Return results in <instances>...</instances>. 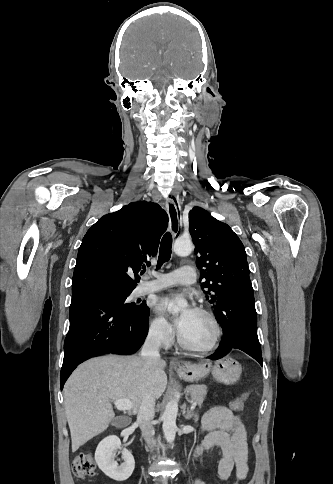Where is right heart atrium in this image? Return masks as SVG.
<instances>
[{"label":"right heart atrium","instance_id":"d8ad5b80","mask_svg":"<svg viewBox=\"0 0 333 484\" xmlns=\"http://www.w3.org/2000/svg\"><path fill=\"white\" fill-rule=\"evenodd\" d=\"M149 336L162 346H169L173 340V329L170 323L161 315H156L150 322Z\"/></svg>","mask_w":333,"mask_h":484}]
</instances>
